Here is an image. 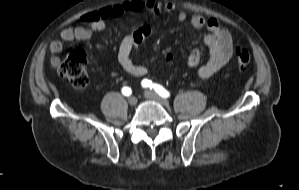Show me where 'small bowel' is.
<instances>
[{"label": "small bowel", "mask_w": 299, "mask_h": 190, "mask_svg": "<svg viewBox=\"0 0 299 190\" xmlns=\"http://www.w3.org/2000/svg\"><path fill=\"white\" fill-rule=\"evenodd\" d=\"M173 3L160 5L154 0H132L122 4L107 6L98 10H92L81 16L83 26L69 27L64 29L61 34V40H55L50 44V52L52 54V64L57 66L59 59L56 56L63 48V42L73 40H87L93 34L101 32L105 29L106 21L121 17L126 13H140L147 11L157 15L161 11L172 13L175 11ZM179 22H188L193 28H206L207 33L203 37V42L209 50V57L205 64L198 69L199 76L207 79L223 68L231 59L233 54V39L231 33L220 26L215 18H204L201 15H187L183 10L176 13ZM151 37V29L148 25H142L134 32L126 35L120 44L118 51V62L121 67L130 75L142 77L147 74L148 69L143 65H138L133 61V54L138 47ZM201 62V52L198 48H194L188 58L187 66L189 68L198 67Z\"/></svg>", "instance_id": "small-bowel-1"}]
</instances>
